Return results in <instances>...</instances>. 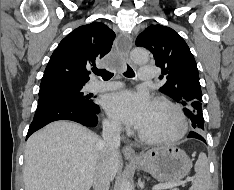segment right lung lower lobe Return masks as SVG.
<instances>
[{
    "label": "right lung lower lobe",
    "instance_id": "98d812e1",
    "mask_svg": "<svg viewBox=\"0 0 234 190\" xmlns=\"http://www.w3.org/2000/svg\"><path fill=\"white\" fill-rule=\"evenodd\" d=\"M99 106L85 107L75 102L51 100L37 107L26 139L35 131L57 120H71L84 126L95 127L98 123Z\"/></svg>",
    "mask_w": 234,
    "mask_h": 190
}]
</instances>
